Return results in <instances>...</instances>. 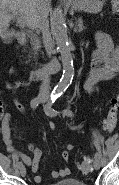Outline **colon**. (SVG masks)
Segmentation results:
<instances>
[{
	"mask_svg": "<svg viewBox=\"0 0 119 185\" xmlns=\"http://www.w3.org/2000/svg\"><path fill=\"white\" fill-rule=\"evenodd\" d=\"M112 13L116 16L119 15V2L118 0L112 1ZM118 118V100L117 98H112L109 103V108L107 115L103 122V130L105 133L110 134L113 132L117 125ZM79 169L82 173H89L92 170V161L89 158L84 159L80 165Z\"/></svg>",
	"mask_w": 119,
	"mask_h": 185,
	"instance_id": "1",
	"label": "colon"
}]
</instances>
